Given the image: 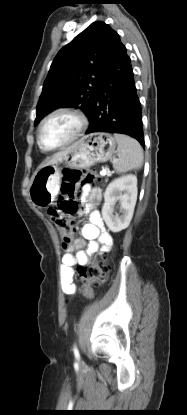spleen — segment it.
Masks as SVG:
<instances>
[{
	"label": "spleen",
	"mask_w": 187,
	"mask_h": 415,
	"mask_svg": "<svg viewBox=\"0 0 187 415\" xmlns=\"http://www.w3.org/2000/svg\"><path fill=\"white\" fill-rule=\"evenodd\" d=\"M117 141V156L113 167L119 174L134 169H140L143 165V149L139 142L132 137L123 134H114Z\"/></svg>",
	"instance_id": "obj_1"
}]
</instances>
